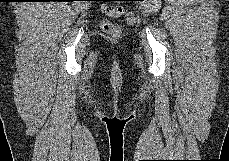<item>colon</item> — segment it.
I'll list each match as a JSON object with an SVG mask.
<instances>
[{"instance_id": "1", "label": "colon", "mask_w": 229, "mask_h": 161, "mask_svg": "<svg viewBox=\"0 0 229 161\" xmlns=\"http://www.w3.org/2000/svg\"><path fill=\"white\" fill-rule=\"evenodd\" d=\"M102 9L107 17L124 13V9L120 5L106 4L103 6ZM100 27L104 33L110 36L117 37L120 34V28L118 27V25L112 22L109 18H104L100 23Z\"/></svg>"}]
</instances>
